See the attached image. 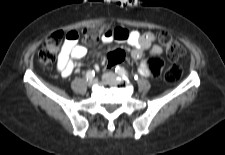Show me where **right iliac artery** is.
<instances>
[{"mask_svg": "<svg viewBox=\"0 0 225 155\" xmlns=\"http://www.w3.org/2000/svg\"><path fill=\"white\" fill-rule=\"evenodd\" d=\"M94 76H95L94 70H89V71H87V73H86V78H87V80L92 79Z\"/></svg>", "mask_w": 225, "mask_h": 155, "instance_id": "obj_1", "label": "right iliac artery"}]
</instances>
